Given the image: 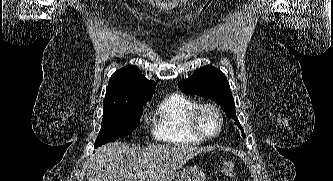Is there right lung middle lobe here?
Segmentation results:
<instances>
[{
  "label": "right lung middle lobe",
  "mask_w": 333,
  "mask_h": 181,
  "mask_svg": "<svg viewBox=\"0 0 333 181\" xmlns=\"http://www.w3.org/2000/svg\"><path fill=\"white\" fill-rule=\"evenodd\" d=\"M144 103L103 110L102 126L95 141V148L130 135L137 128Z\"/></svg>",
  "instance_id": "right-lung-middle-lobe-1"
}]
</instances>
